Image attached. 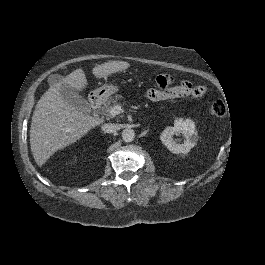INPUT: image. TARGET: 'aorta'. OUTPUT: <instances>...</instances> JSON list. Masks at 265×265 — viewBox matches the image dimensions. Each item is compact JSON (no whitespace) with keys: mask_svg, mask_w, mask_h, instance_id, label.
Here are the masks:
<instances>
[{"mask_svg":"<svg viewBox=\"0 0 265 265\" xmlns=\"http://www.w3.org/2000/svg\"><path fill=\"white\" fill-rule=\"evenodd\" d=\"M135 138V132L133 129H124L122 131V139L125 142H132Z\"/></svg>","mask_w":265,"mask_h":265,"instance_id":"762f6f07","label":"aorta"}]
</instances>
